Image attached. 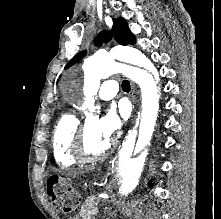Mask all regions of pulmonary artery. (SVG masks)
I'll use <instances>...</instances> for the list:
<instances>
[{
  "mask_svg": "<svg viewBox=\"0 0 221 219\" xmlns=\"http://www.w3.org/2000/svg\"><path fill=\"white\" fill-rule=\"evenodd\" d=\"M117 92V84L109 78L102 83L98 91V96L103 100H110L116 96Z\"/></svg>",
  "mask_w": 221,
  "mask_h": 219,
  "instance_id": "pulmonary-artery-1",
  "label": "pulmonary artery"
}]
</instances>
